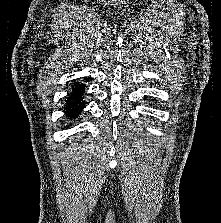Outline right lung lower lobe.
I'll return each instance as SVG.
<instances>
[{
  "label": "right lung lower lobe",
  "mask_w": 221,
  "mask_h": 223,
  "mask_svg": "<svg viewBox=\"0 0 221 223\" xmlns=\"http://www.w3.org/2000/svg\"><path fill=\"white\" fill-rule=\"evenodd\" d=\"M85 90V85L82 83H75L72 86V94L68 97L67 110L68 117H76L85 107V103L82 101V95Z\"/></svg>",
  "instance_id": "right-lung-lower-lobe-1"
}]
</instances>
